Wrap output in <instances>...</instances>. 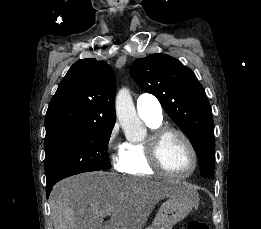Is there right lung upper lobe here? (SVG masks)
Instances as JSON below:
<instances>
[{
  "label": "right lung upper lobe",
  "mask_w": 261,
  "mask_h": 229,
  "mask_svg": "<svg viewBox=\"0 0 261 229\" xmlns=\"http://www.w3.org/2000/svg\"><path fill=\"white\" fill-rule=\"evenodd\" d=\"M115 75L94 58L72 65L52 97L46 117L45 147L74 137L92 126L116 121Z\"/></svg>",
  "instance_id": "cb5924a9"
}]
</instances>
